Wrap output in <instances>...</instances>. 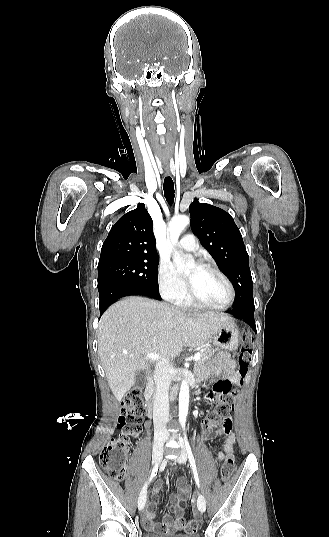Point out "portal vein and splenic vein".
I'll return each instance as SVG.
<instances>
[{"mask_svg":"<svg viewBox=\"0 0 329 537\" xmlns=\"http://www.w3.org/2000/svg\"><path fill=\"white\" fill-rule=\"evenodd\" d=\"M146 358L150 359V360H158L160 357L159 355H157L156 353H148L146 355ZM201 358V353H197L195 356H194V362H197L198 360H200Z\"/></svg>","mask_w":329,"mask_h":537,"instance_id":"obj_1","label":"portal vein and splenic vein"}]
</instances>
